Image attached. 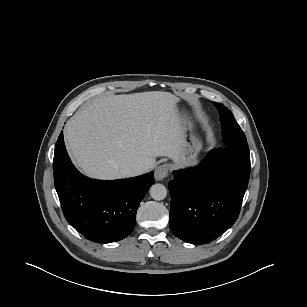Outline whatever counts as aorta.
<instances>
[{
  "mask_svg": "<svg viewBox=\"0 0 307 307\" xmlns=\"http://www.w3.org/2000/svg\"><path fill=\"white\" fill-rule=\"evenodd\" d=\"M150 196L157 201L163 200L167 196V189L163 184H154L150 188Z\"/></svg>",
  "mask_w": 307,
  "mask_h": 307,
  "instance_id": "obj_1",
  "label": "aorta"
}]
</instances>
